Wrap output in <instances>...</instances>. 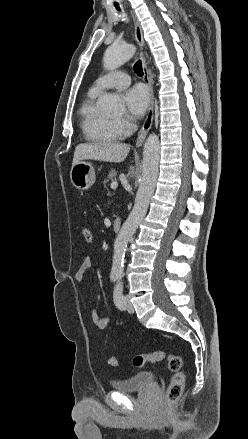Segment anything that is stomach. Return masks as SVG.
<instances>
[{
  "mask_svg": "<svg viewBox=\"0 0 248 439\" xmlns=\"http://www.w3.org/2000/svg\"><path fill=\"white\" fill-rule=\"evenodd\" d=\"M72 185L79 190L90 188L95 182V170L87 161H79L72 166L70 171Z\"/></svg>",
  "mask_w": 248,
  "mask_h": 439,
  "instance_id": "0dacf381",
  "label": "stomach"
}]
</instances>
